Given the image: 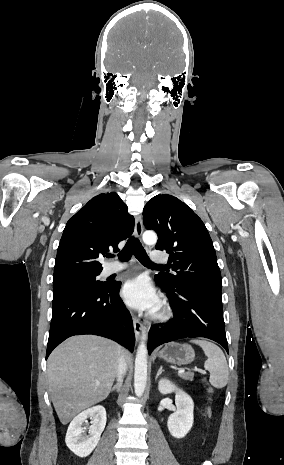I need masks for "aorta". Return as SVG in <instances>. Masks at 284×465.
<instances>
[{
    "label": "aorta",
    "mask_w": 284,
    "mask_h": 465,
    "mask_svg": "<svg viewBox=\"0 0 284 465\" xmlns=\"http://www.w3.org/2000/svg\"><path fill=\"white\" fill-rule=\"evenodd\" d=\"M142 238L147 245H153L157 242V236L153 231H145ZM142 338L143 341L137 349L134 372V390L138 397L143 395L147 381V346L144 342L146 336L143 335Z\"/></svg>",
    "instance_id": "aorta-1"
}]
</instances>
